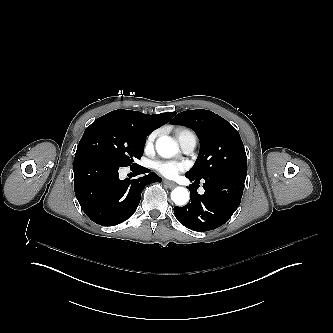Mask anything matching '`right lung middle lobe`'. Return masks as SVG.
Returning a JSON list of instances; mask_svg holds the SVG:
<instances>
[{
  "label": "right lung middle lobe",
  "instance_id": "right-lung-middle-lobe-1",
  "mask_svg": "<svg viewBox=\"0 0 333 333\" xmlns=\"http://www.w3.org/2000/svg\"><path fill=\"white\" fill-rule=\"evenodd\" d=\"M147 135L117 120L98 118L86 128L77 151L97 153L119 167L135 166L134 159L142 156Z\"/></svg>",
  "mask_w": 333,
  "mask_h": 333
}]
</instances>
